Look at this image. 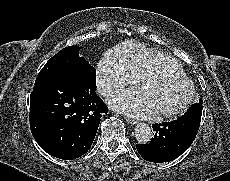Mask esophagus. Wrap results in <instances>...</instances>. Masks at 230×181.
Instances as JSON below:
<instances>
[{"label": "esophagus", "instance_id": "esophagus-1", "mask_svg": "<svg viewBox=\"0 0 230 181\" xmlns=\"http://www.w3.org/2000/svg\"><path fill=\"white\" fill-rule=\"evenodd\" d=\"M125 120L127 121V123H129L130 125H135L137 123L136 120L131 119L130 117H125Z\"/></svg>", "mask_w": 230, "mask_h": 181}]
</instances>
